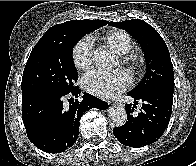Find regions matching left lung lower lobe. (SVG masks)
<instances>
[{"instance_id": "0a47b994", "label": "left lung lower lobe", "mask_w": 196, "mask_h": 166, "mask_svg": "<svg viewBox=\"0 0 196 166\" xmlns=\"http://www.w3.org/2000/svg\"><path fill=\"white\" fill-rule=\"evenodd\" d=\"M133 106L126 105L127 122L113 129L114 136L126 146L139 148L157 141L164 133L172 112L173 93L164 90H151L140 95H132ZM138 100L143 101L138 116L132 112Z\"/></svg>"}]
</instances>
